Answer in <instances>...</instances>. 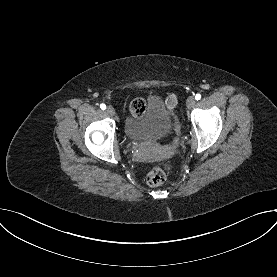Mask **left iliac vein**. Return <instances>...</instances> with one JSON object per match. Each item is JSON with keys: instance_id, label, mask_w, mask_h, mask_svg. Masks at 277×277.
Wrapping results in <instances>:
<instances>
[{"instance_id": "obj_1", "label": "left iliac vein", "mask_w": 277, "mask_h": 277, "mask_svg": "<svg viewBox=\"0 0 277 277\" xmlns=\"http://www.w3.org/2000/svg\"><path fill=\"white\" fill-rule=\"evenodd\" d=\"M195 102H196L195 98L193 96H189L186 101L187 108L188 109L192 108L195 105Z\"/></svg>"}]
</instances>
